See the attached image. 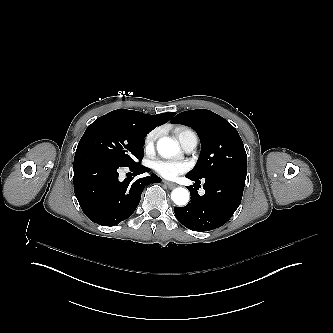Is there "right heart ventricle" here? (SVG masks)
I'll return each instance as SVG.
<instances>
[{"mask_svg":"<svg viewBox=\"0 0 333 333\" xmlns=\"http://www.w3.org/2000/svg\"><path fill=\"white\" fill-rule=\"evenodd\" d=\"M185 130H179L176 132V136L178 137L181 133H183Z\"/></svg>","mask_w":333,"mask_h":333,"instance_id":"1","label":"right heart ventricle"}]
</instances>
